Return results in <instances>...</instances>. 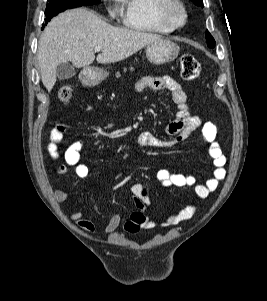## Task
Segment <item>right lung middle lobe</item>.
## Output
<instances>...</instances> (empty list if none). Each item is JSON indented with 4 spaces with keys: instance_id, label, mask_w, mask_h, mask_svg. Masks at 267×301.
Returning <instances> with one entry per match:
<instances>
[{
    "instance_id": "dd1d6c3e",
    "label": "right lung middle lobe",
    "mask_w": 267,
    "mask_h": 301,
    "mask_svg": "<svg viewBox=\"0 0 267 301\" xmlns=\"http://www.w3.org/2000/svg\"><path fill=\"white\" fill-rule=\"evenodd\" d=\"M98 3H100V0H48L45 11L46 18L43 26H45L51 20V18L67 9L90 6Z\"/></svg>"
}]
</instances>
